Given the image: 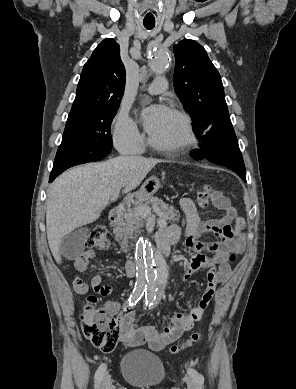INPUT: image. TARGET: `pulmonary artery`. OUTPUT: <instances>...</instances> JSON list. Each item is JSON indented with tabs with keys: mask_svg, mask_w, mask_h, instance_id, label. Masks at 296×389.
<instances>
[{
	"mask_svg": "<svg viewBox=\"0 0 296 389\" xmlns=\"http://www.w3.org/2000/svg\"><path fill=\"white\" fill-rule=\"evenodd\" d=\"M167 89V81L164 77L155 78L147 87L148 93L155 95L164 92Z\"/></svg>",
	"mask_w": 296,
	"mask_h": 389,
	"instance_id": "1",
	"label": "pulmonary artery"
}]
</instances>
